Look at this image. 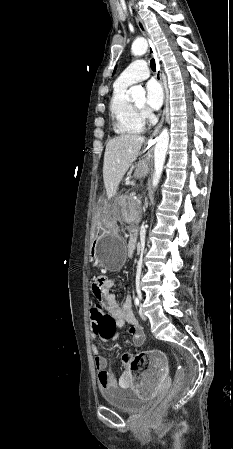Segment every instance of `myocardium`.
Returning <instances> with one entry per match:
<instances>
[{
    "label": "myocardium",
    "instance_id": "obj_1",
    "mask_svg": "<svg viewBox=\"0 0 233 449\" xmlns=\"http://www.w3.org/2000/svg\"><path fill=\"white\" fill-rule=\"evenodd\" d=\"M133 109L140 115L143 113V107L137 106L135 103H131Z\"/></svg>",
    "mask_w": 233,
    "mask_h": 449
}]
</instances>
